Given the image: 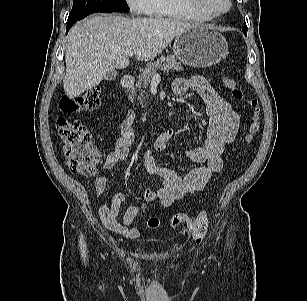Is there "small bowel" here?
<instances>
[{
    "label": "small bowel",
    "mask_w": 307,
    "mask_h": 301,
    "mask_svg": "<svg viewBox=\"0 0 307 301\" xmlns=\"http://www.w3.org/2000/svg\"><path fill=\"white\" fill-rule=\"evenodd\" d=\"M188 90H192L200 96L210 119L204 143L184 151L188 160L201 164V166L192 169L184 177H180L157 161L155 152L166 150L168 142L174 134V129H168L156 139L154 151L148 150L143 155L146 172L161 180L159 187H148L145 190V203L158 201L162 207H169L176 200L203 190L210 177L221 171V155L238 132L239 113L214 90L206 79L201 76H193L178 78L174 81L173 91L176 94H183ZM135 119V111L128 110L123 117L116 121V128L122 137L118 140L115 148L107 154L102 165L103 170H110L118 162L129 157L130 146L134 141L132 124ZM107 182L108 180L104 176L95 179V189L99 196L104 195ZM124 201L125 196L122 193H115L108 204H103L100 207L99 215L109 230L126 238L135 239L139 237L140 230L132 224L140 214L142 207L140 205L128 207L119 221L118 215Z\"/></svg>",
    "instance_id": "small-bowel-1"
}]
</instances>
